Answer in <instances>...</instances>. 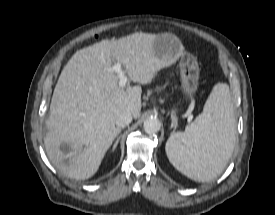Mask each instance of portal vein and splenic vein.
I'll use <instances>...</instances> for the list:
<instances>
[{"label": "portal vein and splenic vein", "mask_w": 275, "mask_h": 215, "mask_svg": "<svg viewBox=\"0 0 275 215\" xmlns=\"http://www.w3.org/2000/svg\"><path fill=\"white\" fill-rule=\"evenodd\" d=\"M110 71L117 73L119 77V86L123 88L128 81V77L125 75L122 65L120 63H116L110 68Z\"/></svg>", "instance_id": "18ae733b"}]
</instances>
